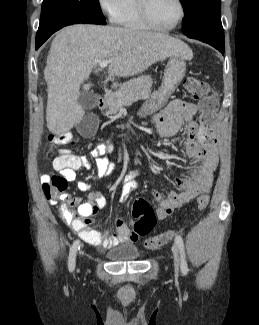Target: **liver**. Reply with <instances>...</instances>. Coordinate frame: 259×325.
Wrapping results in <instances>:
<instances>
[{
  "mask_svg": "<svg viewBox=\"0 0 259 325\" xmlns=\"http://www.w3.org/2000/svg\"><path fill=\"white\" fill-rule=\"evenodd\" d=\"M191 59L186 43L164 33L90 24L61 29L52 41L44 77L48 87L46 121L54 135L69 132L84 114L80 86L100 61L109 60V74L129 77L168 57ZM91 84L83 85L89 90Z\"/></svg>",
  "mask_w": 259,
  "mask_h": 325,
  "instance_id": "6515ba94",
  "label": "liver"
}]
</instances>
